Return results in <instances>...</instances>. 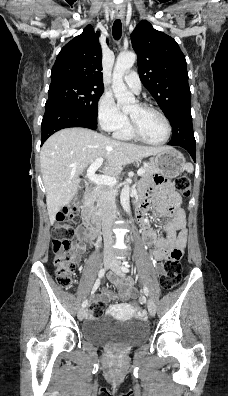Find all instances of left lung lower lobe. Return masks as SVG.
Instances as JSON below:
<instances>
[{
	"mask_svg": "<svg viewBox=\"0 0 228 396\" xmlns=\"http://www.w3.org/2000/svg\"><path fill=\"white\" fill-rule=\"evenodd\" d=\"M180 111L181 118L179 120H169L173 128V134L168 145L186 149L195 161L196 142L192 127L191 108L190 106H182Z\"/></svg>",
	"mask_w": 228,
	"mask_h": 396,
	"instance_id": "left-lung-lower-lobe-1",
	"label": "left lung lower lobe"
}]
</instances>
